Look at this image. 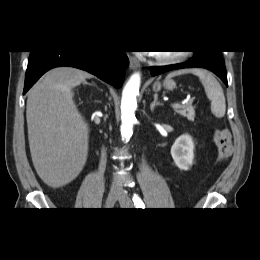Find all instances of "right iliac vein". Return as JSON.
<instances>
[{
	"label": "right iliac vein",
	"instance_id": "63e3f726",
	"mask_svg": "<svg viewBox=\"0 0 260 260\" xmlns=\"http://www.w3.org/2000/svg\"><path fill=\"white\" fill-rule=\"evenodd\" d=\"M120 197V193L116 191H111L106 199V207L110 208L112 207L116 200Z\"/></svg>",
	"mask_w": 260,
	"mask_h": 260
}]
</instances>
